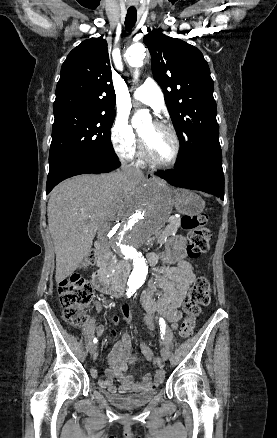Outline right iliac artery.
Instances as JSON below:
<instances>
[{"mask_svg": "<svg viewBox=\"0 0 277 438\" xmlns=\"http://www.w3.org/2000/svg\"><path fill=\"white\" fill-rule=\"evenodd\" d=\"M97 341H98L97 338H94V339H93V342H94V343H97Z\"/></svg>", "mask_w": 277, "mask_h": 438, "instance_id": "right-iliac-artery-1", "label": "right iliac artery"}]
</instances>
